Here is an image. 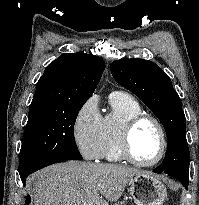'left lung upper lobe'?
<instances>
[{
  "instance_id": "1",
  "label": "left lung upper lobe",
  "mask_w": 199,
  "mask_h": 205,
  "mask_svg": "<svg viewBox=\"0 0 199 205\" xmlns=\"http://www.w3.org/2000/svg\"><path fill=\"white\" fill-rule=\"evenodd\" d=\"M110 70L114 79L141 99L163 124L167 151L162 164L154 171L188 180L190 153L186 118L168 75L152 61L137 58L116 60Z\"/></svg>"
}]
</instances>
